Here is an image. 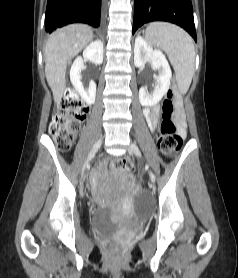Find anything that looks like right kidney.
I'll use <instances>...</instances> for the list:
<instances>
[{
    "label": "right kidney",
    "instance_id": "1",
    "mask_svg": "<svg viewBox=\"0 0 238 278\" xmlns=\"http://www.w3.org/2000/svg\"><path fill=\"white\" fill-rule=\"evenodd\" d=\"M100 65L103 62V43L99 40L90 43L83 51V57H77L70 70V80L81 98L88 104L92 105L96 97V84L90 81L88 89H85L81 82V71L84 69V60Z\"/></svg>",
    "mask_w": 238,
    "mask_h": 278
}]
</instances>
